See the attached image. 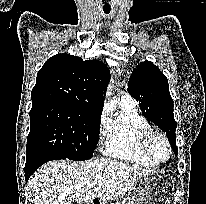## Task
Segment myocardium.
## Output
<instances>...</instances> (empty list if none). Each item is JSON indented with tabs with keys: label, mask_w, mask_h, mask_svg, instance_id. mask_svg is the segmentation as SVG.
<instances>
[{
	"label": "myocardium",
	"mask_w": 206,
	"mask_h": 204,
	"mask_svg": "<svg viewBox=\"0 0 206 204\" xmlns=\"http://www.w3.org/2000/svg\"><path fill=\"white\" fill-rule=\"evenodd\" d=\"M156 138L161 139L167 147V157L163 160L156 158L151 150V144L153 140ZM141 147H142L144 154L156 164L166 163L167 161H169V159L172 156V147H171V144L168 138L163 133L155 129H150L143 135L141 139Z\"/></svg>",
	"instance_id": "obj_1"
}]
</instances>
